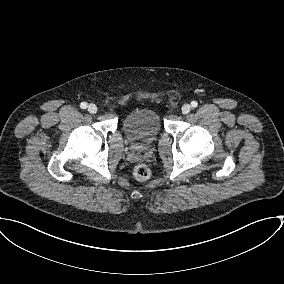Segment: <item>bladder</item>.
Segmentation results:
<instances>
[{
	"label": "bladder",
	"mask_w": 284,
	"mask_h": 284,
	"mask_svg": "<svg viewBox=\"0 0 284 284\" xmlns=\"http://www.w3.org/2000/svg\"><path fill=\"white\" fill-rule=\"evenodd\" d=\"M123 130L134 147L144 149L157 139L161 131V119L154 109L137 108L125 116Z\"/></svg>",
	"instance_id": "31cf9c89"
}]
</instances>
